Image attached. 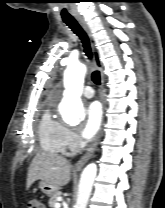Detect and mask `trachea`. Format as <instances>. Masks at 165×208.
I'll return each instance as SVG.
<instances>
[{"label": "trachea", "instance_id": "trachea-1", "mask_svg": "<svg viewBox=\"0 0 165 208\" xmlns=\"http://www.w3.org/2000/svg\"><path fill=\"white\" fill-rule=\"evenodd\" d=\"M64 22L81 39V41L83 43V47H84V52L86 53L88 58H92L90 42H89L88 36L83 31V29L79 26V24L75 20L65 19ZM92 80L96 85H100V73H99V71H94L92 73Z\"/></svg>", "mask_w": 165, "mask_h": 208}]
</instances>
